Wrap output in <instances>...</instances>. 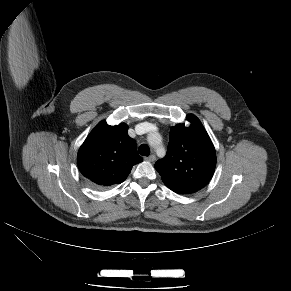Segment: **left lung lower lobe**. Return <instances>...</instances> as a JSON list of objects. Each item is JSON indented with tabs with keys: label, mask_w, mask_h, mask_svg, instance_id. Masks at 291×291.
Here are the masks:
<instances>
[{
	"label": "left lung lower lobe",
	"mask_w": 291,
	"mask_h": 291,
	"mask_svg": "<svg viewBox=\"0 0 291 291\" xmlns=\"http://www.w3.org/2000/svg\"><path fill=\"white\" fill-rule=\"evenodd\" d=\"M164 184L170 188L172 191L178 193V194H190V193H194L192 191H190L189 189L183 187V186H180V185H177V184H171V183H166L164 182Z\"/></svg>",
	"instance_id": "1"
}]
</instances>
